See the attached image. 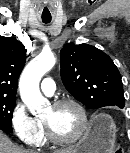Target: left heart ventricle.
I'll list each match as a JSON object with an SVG mask.
<instances>
[{
    "instance_id": "obj_1",
    "label": "left heart ventricle",
    "mask_w": 130,
    "mask_h": 153,
    "mask_svg": "<svg viewBox=\"0 0 130 153\" xmlns=\"http://www.w3.org/2000/svg\"><path fill=\"white\" fill-rule=\"evenodd\" d=\"M44 119L47 120L55 133L60 137H73L80 128V115L72 105H63L58 108L50 106Z\"/></svg>"
}]
</instances>
